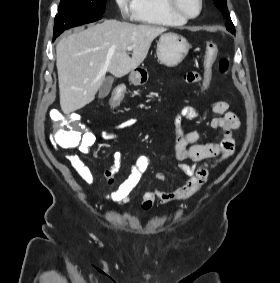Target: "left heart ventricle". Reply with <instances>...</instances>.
<instances>
[{
	"instance_id": "obj_1",
	"label": "left heart ventricle",
	"mask_w": 280,
	"mask_h": 283,
	"mask_svg": "<svg viewBox=\"0 0 280 283\" xmlns=\"http://www.w3.org/2000/svg\"><path fill=\"white\" fill-rule=\"evenodd\" d=\"M178 3L189 14H196L199 9L198 0H178Z\"/></svg>"
}]
</instances>
